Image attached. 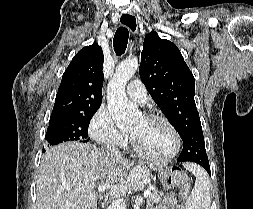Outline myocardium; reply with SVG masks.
<instances>
[{"mask_svg": "<svg viewBox=\"0 0 253 209\" xmlns=\"http://www.w3.org/2000/svg\"><path fill=\"white\" fill-rule=\"evenodd\" d=\"M143 117L145 119L148 120H159L162 121L163 123H165L170 130L173 133L174 136V148L173 150L167 154L166 156L163 157H156L153 156L151 154H148L147 152H145L139 142L137 141V139L135 138V136L131 133V141H132V146L134 151L136 152L137 155H139L140 157L152 161V162H156V163H165V162H169L170 160H172L180 151V147H181V137L180 134L177 130V128L175 127V125L165 116L158 114V113H145L143 115Z\"/></svg>", "mask_w": 253, "mask_h": 209, "instance_id": "1", "label": "myocardium"}]
</instances>
